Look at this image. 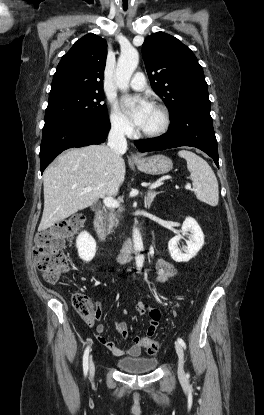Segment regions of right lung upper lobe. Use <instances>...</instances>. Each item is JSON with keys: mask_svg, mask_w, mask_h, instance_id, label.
<instances>
[{"mask_svg": "<svg viewBox=\"0 0 264 415\" xmlns=\"http://www.w3.org/2000/svg\"><path fill=\"white\" fill-rule=\"evenodd\" d=\"M107 43L89 33L76 41L61 58L52 81L50 95L67 91L103 92V72Z\"/></svg>", "mask_w": 264, "mask_h": 415, "instance_id": "cb5924a9", "label": "right lung upper lobe"}]
</instances>
